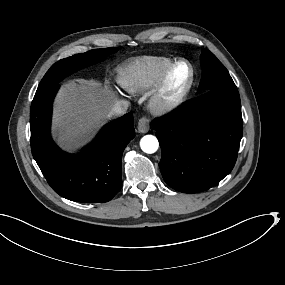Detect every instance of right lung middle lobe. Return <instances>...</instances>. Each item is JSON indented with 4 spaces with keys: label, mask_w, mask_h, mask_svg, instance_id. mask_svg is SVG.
Wrapping results in <instances>:
<instances>
[{
    "label": "right lung middle lobe",
    "mask_w": 285,
    "mask_h": 285,
    "mask_svg": "<svg viewBox=\"0 0 285 285\" xmlns=\"http://www.w3.org/2000/svg\"><path fill=\"white\" fill-rule=\"evenodd\" d=\"M118 49L115 47L105 49H94L86 53L76 54L71 57L56 62L45 74L41 80L37 91L46 89L57 84L67 75L97 62H101L108 55L115 53Z\"/></svg>",
    "instance_id": "obj_1"
}]
</instances>
